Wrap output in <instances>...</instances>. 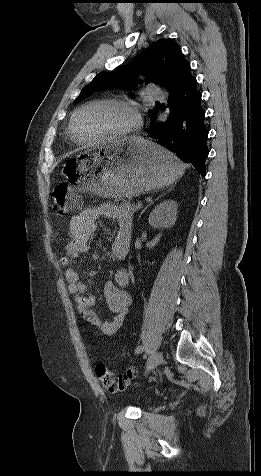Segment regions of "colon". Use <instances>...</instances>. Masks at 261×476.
Wrapping results in <instances>:
<instances>
[{
	"label": "colon",
	"mask_w": 261,
	"mask_h": 476,
	"mask_svg": "<svg viewBox=\"0 0 261 476\" xmlns=\"http://www.w3.org/2000/svg\"><path fill=\"white\" fill-rule=\"evenodd\" d=\"M53 212L56 215H66L79 207V200L72 193L71 187L66 182L58 183L53 191ZM96 377L99 382L110 392L124 391L130 380L135 375L134 369H129L124 375H116L104 363H98L95 367Z\"/></svg>",
	"instance_id": "1"
}]
</instances>
